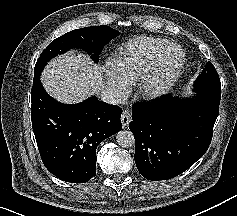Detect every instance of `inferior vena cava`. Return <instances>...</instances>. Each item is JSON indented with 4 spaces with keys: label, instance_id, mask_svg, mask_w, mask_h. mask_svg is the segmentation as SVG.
<instances>
[{
    "label": "inferior vena cava",
    "instance_id": "inferior-vena-cava-1",
    "mask_svg": "<svg viewBox=\"0 0 237 216\" xmlns=\"http://www.w3.org/2000/svg\"><path fill=\"white\" fill-rule=\"evenodd\" d=\"M99 99L111 105H120L124 102L123 96L119 91L113 88L106 87L101 90Z\"/></svg>",
    "mask_w": 237,
    "mask_h": 216
}]
</instances>
